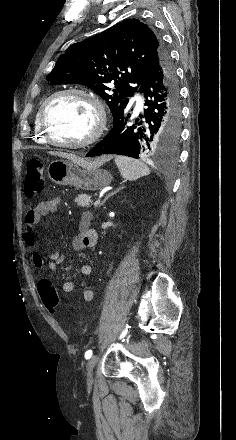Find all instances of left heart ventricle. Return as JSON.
Wrapping results in <instances>:
<instances>
[{
    "label": "left heart ventricle",
    "mask_w": 236,
    "mask_h": 440,
    "mask_svg": "<svg viewBox=\"0 0 236 440\" xmlns=\"http://www.w3.org/2000/svg\"><path fill=\"white\" fill-rule=\"evenodd\" d=\"M46 123L54 140L77 143L91 134L95 113L86 99L65 95L51 102L46 112Z\"/></svg>",
    "instance_id": "1"
}]
</instances>
